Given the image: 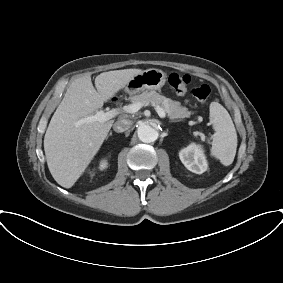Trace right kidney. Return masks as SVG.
I'll use <instances>...</instances> for the list:
<instances>
[{
  "instance_id": "right-kidney-1",
  "label": "right kidney",
  "mask_w": 283,
  "mask_h": 283,
  "mask_svg": "<svg viewBox=\"0 0 283 283\" xmlns=\"http://www.w3.org/2000/svg\"><path fill=\"white\" fill-rule=\"evenodd\" d=\"M106 167H107V162H106V160H102V161L100 162V165H99L100 170H103V169H105Z\"/></svg>"
}]
</instances>
